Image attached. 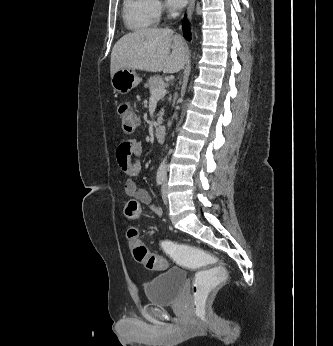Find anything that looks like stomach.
<instances>
[{
  "instance_id": "1",
  "label": "stomach",
  "mask_w": 333,
  "mask_h": 346,
  "mask_svg": "<svg viewBox=\"0 0 333 346\" xmlns=\"http://www.w3.org/2000/svg\"><path fill=\"white\" fill-rule=\"evenodd\" d=\"M140 82L141 78L130 69H119L111 76V85L120 94H127Z\"/></svg>"
}]
</instances>
